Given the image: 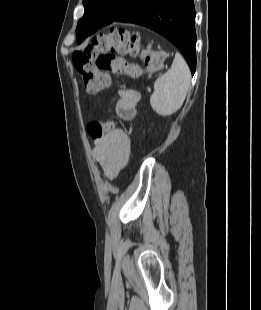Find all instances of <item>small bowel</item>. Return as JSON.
<instances>
[{
	"label": "small bowel",
	"instance_id": "obj_1",
	"mask_svg": "<svg viewBox=\"0 0 261 310\" xmlns=\"http://www.w3.org/2000/svg\"><path fill=\"white\" fill-rule=\"evenodd\" d=\"M140 93L134 89L119 90V100L116 103V113L123 120H132L140 103ZM107 132L98 138L91 136L93 141V156L109 178H114L126 166L130 153L129 136L112 122Z\"/></svg>",
	"mask_w": 261,
	"mask_h": 310
}]
</instances>
